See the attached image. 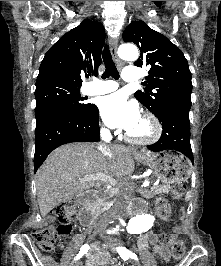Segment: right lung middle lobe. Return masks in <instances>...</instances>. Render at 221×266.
<instances>
[{
	"label": "right lung middle lobe",
	"instance_id": "dd1d6c3e",
	"mask_svg": "<svg viewBox=\"0 0 221 266\" xmlns=\"http://www.w3.org/2000/svg\"><path fill=\"white\" fill-rule=\"evenodd\" d=\"M79 89L63 85L36 88V124L59 113H88L94 104L85 103V98L81 97Z\"/></svg>",
	"mask_w": 221,
	"mask_h": 266
}]
</instances>
